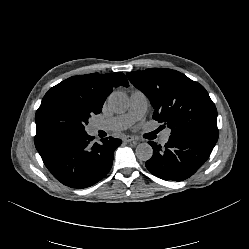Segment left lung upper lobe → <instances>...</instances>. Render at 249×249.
Returning a JSON list of instances; mask_svg holds the SVG:
<instances>
[{"mask_svg":"<svg viewBox=\"0 0 249 249\" xmlns=\"http://www.w3.org/2000/svg\"><path fill=\"white\" fill-rule=\"evenodd\" d=\"M127 77L150 100L160 128L166 125L171 135L217 142V110L201 84L167 68L128 72Z\"/></svg>","mask_w":249,"mask_h":249,"instance_id":"obj_1","label":"left lung upper lobe"}]
</instances>
